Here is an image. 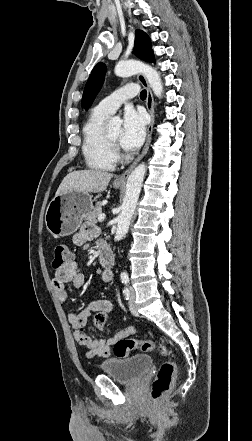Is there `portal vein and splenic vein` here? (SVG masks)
Listing matches in <instances>:
<instances>
[{"label": "portal vein and splenic vein", "instance_id": "18ae733b", "mask_svg": "<svg viewBox=\"0 0 252 441\" xmlns=\"http://www.w3.org/2000/svg\"><path fill=\"white\" fill-rule=\"evenodd\" d=\"M105 218H106V215L102 214V213L98 216L99 222H103L105 220Z\"/></svg>", "mask_w": 252, "mask_h": 441}]
</instances>
